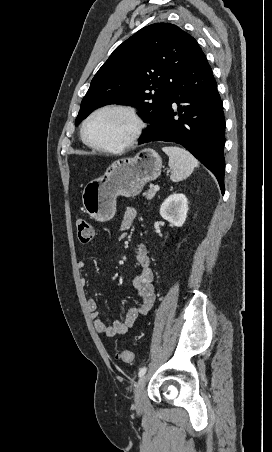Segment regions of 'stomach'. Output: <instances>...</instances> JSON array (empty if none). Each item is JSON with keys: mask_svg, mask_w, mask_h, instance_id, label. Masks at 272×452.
<instances>
[{"mask_svg": "<svg viewBox=\"0 0 272 452\" xmlns=\"http://www.w3.org/2000/svg\"><path fill=\"white\" fill-rule=\"evenodd\" d=\"M161 168L160 155L150 148L114 161L103 176L84 187L82 203L86 213L99 222L111 220L116 213V198L138 195L147 182L160 176Z\"/></svg>", "mask_w": 272, "mask_h": 452, "instance_id": "1", "label": "stomach"}]
</instances>
